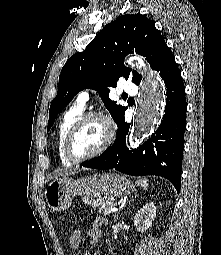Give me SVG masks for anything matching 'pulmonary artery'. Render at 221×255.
Segmentation results:
<instances>
[{"label":"pulmonary artery","mask_w":221,"mask_h":255,"mask_svg":"<svg viewBox=\"0 0 221 255\" xmlns=\"http://www.w3.org/2000/svg\"><path fill=\"white\" fill-rule=\"evenodd\" d=\"M121 91L128 95L137 94V86L132 81L126 80L121 83ZM90 97V92L88 90H83L79 92L76 98V104L81 107H85Z\"/></svg>","instance_id":"obj_1"}]
</instances>
